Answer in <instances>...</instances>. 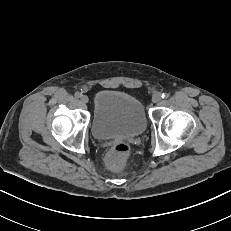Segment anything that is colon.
I'll return each instance as SVG.
<instances>
[{"label": "colon", "mask_w": 231, "mask_h": 231, "mask_svg": "<svg viewBox=\"0 0 231 231\" xmlns=\"http://www.w3.org/2000/svg\"><path fill=\"white\" fill-rule=\"evenodd\" d=\"M131 147L127 142L116 143L107 154V164L114 170L121 169L127 160Z\"/></svg>", "instance_id": "colon-1"}]
</instances>
